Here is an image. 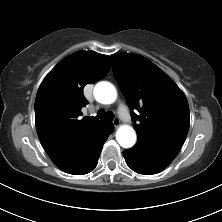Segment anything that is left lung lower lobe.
Masks as SVG:
<instances>
[{"label":"left lung lower lobe","mask_w":222,"mask_h":222,"mask_svg":"<svg viewBox=\"0 0 222 222\" xmlns=\"http://www.w3.org/2000/svg\"><path fill=\"white\" fill-rule=\"evenodd\" d=\"M123 155L127 165L137 173L140 174H155L160 172L165 166L160 165L138 153L124 150Z\"/></svg>","instance_id":"obj_1"}]
</instances>
